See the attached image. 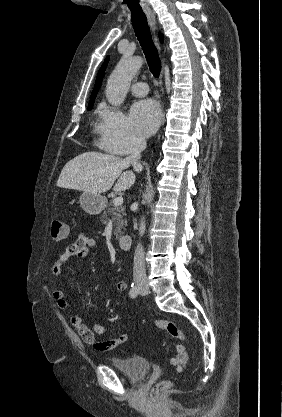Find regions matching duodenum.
Masks as SVG:
<instances>
[{"instance_id": "410a0bca", "label": "duodenum", "mask_w": 282, "mask_h": 417, "mask_svg": "<svg viewBox=\"0 0 282 417\" xmlns=\"http://www.w3.org/2000/svg\"><path fill=\"white\" fill-rule=\"evenodd\" d=\"M131 236L128 234L122 235L118 238L119 247L123 250H127L130 246Z\"/></svg>"}]
</instances>
